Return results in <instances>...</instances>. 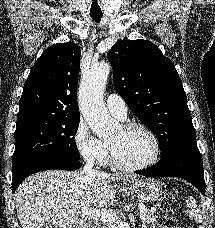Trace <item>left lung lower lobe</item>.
<instances>
[{
	"label": "left lung lower lobe",
	"mask_w": 215,
	"mask_h": 228,
	"mask_svg": "<svg viewBox=\"0 0 215 228\" xmlns=\"http://www.w3.org/2000/svg\"><path fill=\"white\" fill-rule=\"evenodd\" d=\"M135 173L147 177H179L196 186L205 195L202 157L196 141L181 145L154 166Z\"/></svg>",
	"instance_id": "0a47b994"
}]
</instances>
